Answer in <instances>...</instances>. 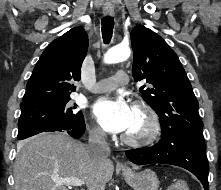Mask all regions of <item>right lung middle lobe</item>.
Listing matches in <instances>:
<instances>
[{"mask_svg": "<svg viewBox=\"0 0 221 190\" xmlns=\"http://www.w3.org/2000/svg\"><path fill=\"white\" fill-rule=\"evenodd\" d=\"M20 107L19 140L50 130L77 128L84 123L82 112L77 111V106L70 103V97Z\"/></svg>", "mask_w": 221, "mask_h": 190, "instance_id": "1", "label": "right lung middle lobe"}]
</instances>
